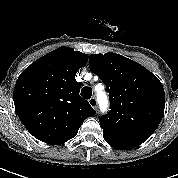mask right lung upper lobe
Here are the masks:
<instances>
[{
  "label": "right lung upper lobe",
  "mask_w": 178,
  "mask_h": 178,
  "mask_svg": "<svg viewBox=\"0 0 178 178\" xmlns=\"http://www.w3.org/2000/svg\"><path fill=\"white\" fill-rule=\"evenodd\" d=\"M88 55L60 47L39 58L19 76L14 88L16 113L38 140L62 144L72 139L96 111L79 96L77 71Z\"/></svg>",
  "instance_id": "1"
}]
</instances>
